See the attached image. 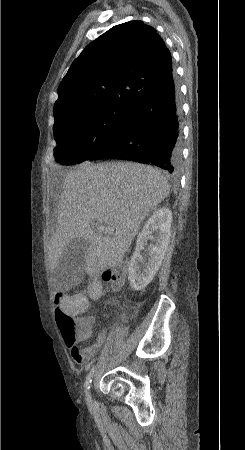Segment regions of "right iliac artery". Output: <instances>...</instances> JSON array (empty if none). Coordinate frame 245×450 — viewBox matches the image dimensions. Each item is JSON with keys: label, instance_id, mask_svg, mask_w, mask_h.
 I'll list each match as a JSON object with an SVG mask.
<instances>
[{"label": "right iliac artery", "instance_id": "82829eb1", "mask_svg": "<svg viewBox=\"0 0 245 450\" xmlns=\"http://www.w3.org/2000/svg\"><path fill=\"white\" fill-rule=\"evenodd\" d=\"M95 372V367H93L90 372L88 373L87 377H86V381H85V388H86V395H87V400L89 405H91V396H90V387H91V382H92V378Z\"/></svg>", "mask_w": 245, "mask_h": 450}]
</instances>
